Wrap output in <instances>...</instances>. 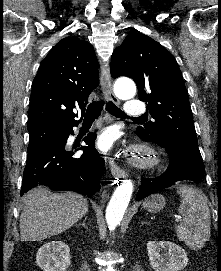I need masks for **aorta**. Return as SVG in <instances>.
Instances as JSON below:
<instances>
[{
    "mask_svg": "<svg viewBox=\"0 0 221 271\" xmlns=\"http://www.w3.org/2000/svg\"><path fill=\"white\" fill-rule=\"evenodd\" d=\"M114 92L120 99H131L136 94L135 83L130 79H121L115 82ZM133 192L131 180H123L115 189L106 209V221L109 230H114L120 224L124 213L128 207Z\"/></svg>",
    "mask_w": 221,
    "mask_h": 271,
    "instance_id": "762f6f07",
    "label": "aorta"
}]
</instances>
